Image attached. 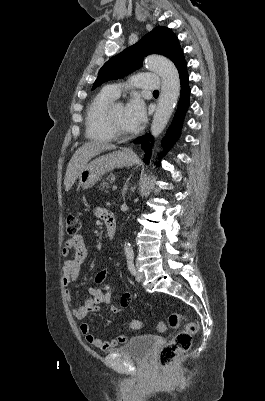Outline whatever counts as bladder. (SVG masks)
Segmentation results:
<instances>
[{"instance_id":"31cf9c89","label":"bladder","mask_w":265,"mask_h":401,"mask_svg":"<svg viewBox=\"0 0 265 401\" xmlns=\"http://www.w3.org/2000/svg\"><path fill=\"white\" fill-rule=\"evenodd\" d=\"M154 344V338L150 335L134 336L124 347L109 351L120 352L124 357L146 359Z\"/></svg>"}]
</instances>
